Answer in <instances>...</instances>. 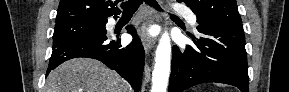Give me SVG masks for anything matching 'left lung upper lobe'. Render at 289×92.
Returning a JSON list of instances; mask_svg holds the SVG:
<instances>
[{"label": "left lung upper lobe", "instance_id": "5c2ea615", "mask_svg": "<svg viewBox=\"0 0 289 92\" xmlns=\"http://www.w3.org/2000/svg\"><path fill=\"white\" fill-rule=\"evenodd\" d=\"M197 15L198 22H211L242 28L236 0H177Z\"/></svg>", "mask_w": 289, "mask_h": 92}]
</instances>
